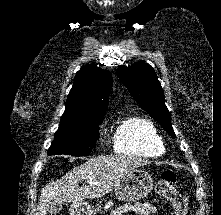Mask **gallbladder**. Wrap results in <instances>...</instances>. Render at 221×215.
<instances>
[{
    "mask_svg": "<svg viewBox=\"0 0 221 215\" xmlns=\"http://www.w3.org/2000/svg\"><path fill=\"white\" fill-rule=\"evenodd\" d=\"M63 204L61 202H54L50 204L48 212L50 215H56L58 212L62 210Z\"/></svg>",
    "mask_w": 221,
    "mask_h": 215,
    "instance_id": "gallbladder-1",
    "label": "gallbladder"
}]
</instances>
